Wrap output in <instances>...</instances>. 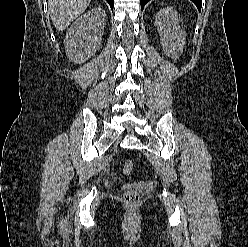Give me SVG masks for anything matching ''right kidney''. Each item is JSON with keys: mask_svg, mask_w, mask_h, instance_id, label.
Wrapping results in <instances>:
<instances>
[{"mask_svg": "<svg viewBox=\"0 0 248 247\" xmlns=\"http://www.w3.org/2000/svg\"><path fill=\"white\" fill-rule=\"evenodd\" d=\"M106 13L94 8L77 18L68 29L64 44L74 63H83L96 53L102 42Z\"/></svg>", "mask_w": 248, "mask_h": 247, "instance_id": "ca27d5eb", "label": "right kidney"}]
</instances>
